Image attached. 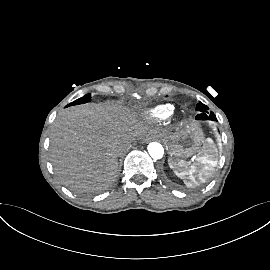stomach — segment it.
Instances as JSON below:
<instances>
[{
  "label": "stomach",
  "mask_w": 270,
  "mask_h": 270,
  "mask_svg": "<svg viewBox=\"0 0 270 270\" xmlns=\"http://www.w3.org/2000/svg\"><path fill=\"white\" fill-rule=\"evenodd\" d=\"M164 140L170 153L169 166L179 175L184 169L182 162L199 151L203 132L197 124L187 123L174 133L165 135Z\"/></svg>",
  "instance_id": "1"
}]
</instances>
